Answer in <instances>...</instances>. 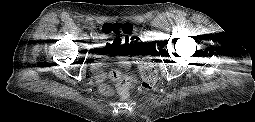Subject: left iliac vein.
Returning <instances> with one entry per match:
<instances>
[{
    "label": "left iliac vein",
    "mask_w": 255,
    "mask_h": 122,
    "mask_svg": "<svg viewBox=\"0 0 255 122\" xmlns=\"http://www.w3.org/2000/svg\"><path fill=\"white\" fill-rule=\"evenodd\" d=\"M145 41H149L150 40V38H149V36H147V35H145Z\"/></svg>",
    "instance_id": "left-iliac-vein-1"
}]
</instances>
